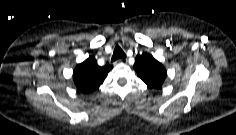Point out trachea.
I'll return each mask as SVG.
<instances>
[{
	"mask_svg": "<svg viewBox=\"0 0 236 135\" xmlns=\"http://www.w3.org/2000/svg\"><path fill=\"white\" fill-rule=\"evenodd\" d=\"M125 53L123 52V50L121 49L120 46H116L115 49H114V52H113V55H112V61H116L120 58H125Z\"/></svg>",
	"mask_w": 236,
	"mask_h": 135,
	"instance_id": "trachea-1",
	"label": "trachea"
}]
</instances>
